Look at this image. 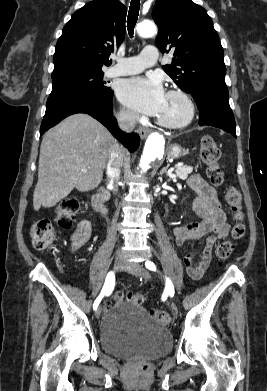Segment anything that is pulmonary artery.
Listing matches in <instances>:
<instances>
[{"label": "pulmonary artery", "instance_id": "1", "mask_svg": "<svg viewBox=\"0 0 267 391\" xmlns=\"http://www.w3.org/2000/svg\"><path fill=\"white\" fill-rule=\"evenodd\" d=\"M159 57L158 49L148 45L138 56L116 58L117 63L108 70V76H126L139 73L145 68L154 65Z\"/></svg>", "mask_w": 267, "mask_h": 391}]
</instances>
